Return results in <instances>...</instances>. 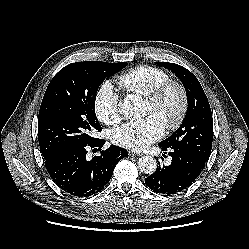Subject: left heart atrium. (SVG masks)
I'll return each instance as SVG.
<instances>
[{"instance_id": "39dd6f15", "label": "left heart atrium", "mask_w": 249, "mask_h": 249, "mask_svg": "<svg viewBox=\"0 0 249 249\" xmlns=\"http://www.w3.org/2000/svg\"><path fill=\"white\" fill-rule=\"evenodd\" d=\"M164 128L157 116L149 115L142 119L130 120L116 128L112 133V141L121 147L139 151L160 139Z\"/></svg>"}]
</instances>
